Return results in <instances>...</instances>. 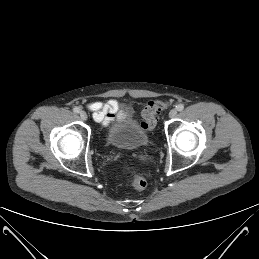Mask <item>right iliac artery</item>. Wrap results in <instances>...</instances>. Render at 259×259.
Segmentation results:
<instances>
[{
  "label": "right iliac artery",
  "instance_id": "obj_1",
  "mask_svg": "<svg viewBox=\"0 0 259 259\" xmlns=\"http://www.w3.org/2000/svg\"><path fill=\"white\" fill-rule=\"evenodd\" d=\"M73 112H74V113H79V112H80L79 107H74V108H73Z\"/></svg>",
  "mask_w": 259,
  "mask_h": 259
}]
</instances>
